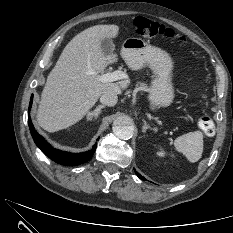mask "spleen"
<instances>
[{"instance_id": "obj_1", "label": "spleen", "mask_w": 233, "mask_h": 233, "mask_svg": "<svg viewBox=\"0 0 233 233\" xmlns=\"http://www.w3.org/2000/svg\"><path fill=\"white\" fill-rule=\"evenodd\" d=\"M175 149L184 154L188 161L197 162L203 153V135L200 131L189 132L174 140Z\"/></svg>"}]
</instances>
